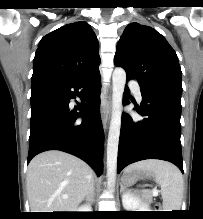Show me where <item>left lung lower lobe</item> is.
<instances>
[{"mask_svg":"<svg viewBox=\"0 0 203 219\" xmlns=\"http://www.w3.org/2000/svg\"><path fill=\"white\" fill-rule=\"evenodd\" d=\"M128 94L126 86L123 105L130 104ZM141 95V107L135 109L146 118L135 121L129 114L122 113L117 173L127 165L145 159L169 161L183 172L181 94L141 86Z\"/></svg>","mask_w":203,"mask_h":219,"instance_id":"left-lung-lower-lobe-1","label":"left lung lower lobe"}]
</instances>
